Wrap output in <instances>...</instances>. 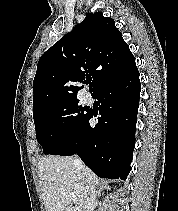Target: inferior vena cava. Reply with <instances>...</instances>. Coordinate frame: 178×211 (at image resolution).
<instances>
[{
	"mask_svg": "<svg viewBox=\"0 0 178 211\" xmlns=\"http://www.w3.org/2000/svg\"><path fill=\"white\" fill-rule=\"evenodd\" d=\"M74 164L79 170H81L82 172H86V168L79 157L77 156L75 157ZM96 194L97 192H96L95 187L91 186L86 194V200H85V206H84L85 211L94 210V206L96 202Z\"/></svg>",
	"mask_w": 178,
	"mask_h": 211,
	"instance_id": "602c4592",
	"label": "inferior vena cava"
}]
</instances>
